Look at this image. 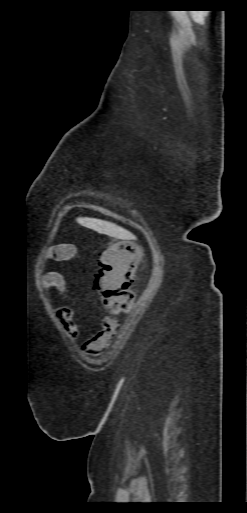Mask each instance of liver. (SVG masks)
I'll return each mask as SVG.
<instances>
[{
    "label": "liver",
    "instance_id": "liver-1",
    "mask_svg": "<svg viewBox=\"0 0 247 513\" xmlns=\"http://www.w3.org/2000/svg\"><path fill=\"white\" fill-rule=\"evenodd\" d=\"M76 220L80 225L92 229L100 234H106L123 240H129L133 236L128 230L105 220L88 217H78Z\"/></svg>",
    "mask_w": 247,
    "mask_h": 513
}]
</instances>
